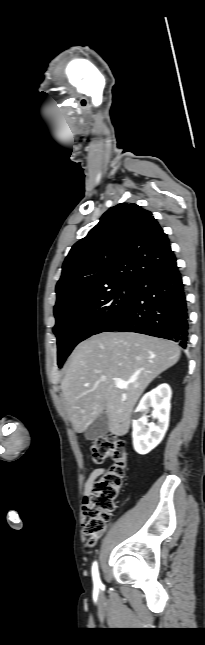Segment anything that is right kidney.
Here are the masks:
<instances>
[{"instance_id":"right-kidney-1","label":"right kidney","mask_w":205,"mask_h":645,"mask_svg":"<svg viewBox=\"0 0 205 645\" xmlns=\"http://www.w3.org/2000/svg\"><path fill=\"white\" fill-rule=\"evenodd\" d=\"M171 395L170 386L163 383L141 398L132 421L133 446L138 454L149 453L164 438L169 426ZM150 408H153L151 416L157 423L148 420Z\"/></svg>"}]
</instances>
